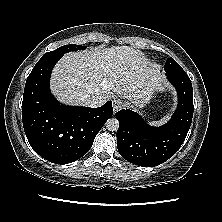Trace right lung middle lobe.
Listing matches in <instances>:
<instances>
[{
    "label": "right lung middle lobe",
    "mask_w": 222,
    "mask_h": 222,
    "mask_svg": "<svg viewBox=\"0 0 222 222\" xmlns=\"http://www.w3.org/2000/svg\"><path fill=\"white\" fill-rule=\"evenodd\" d=\"M86 46L76 45V44H69L59 47L58 49L45 53L41 58L51 57V56H60L62 57L65 53L70 51H78L84 50Z\"/></svg>",
    "instance_id": "dd1d6c3e"
}]
</instances>
